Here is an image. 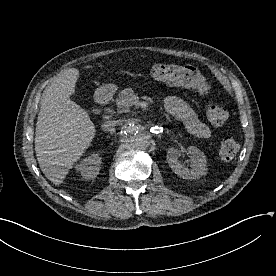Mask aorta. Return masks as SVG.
Returning a JSON list of instances; mask_svg holds the SVG:
<instances>
[{
    "label": "aorta",
    "instance_id": "aorta-1",
    "mask_svg": "<svg viewBox=\"0 0 276 276\" xmlns=\"http://www.w3.org/2000/svg\"><path fill=\"white\" fill-rule=\"evenodd\" d=\"M120 136L126 145L134 150H145L150 144L149 135L135 123L125 124L121 128Z\"/></svg>",
    "mask_w": 276,
    "mask_h": 276
}]
</instances>
